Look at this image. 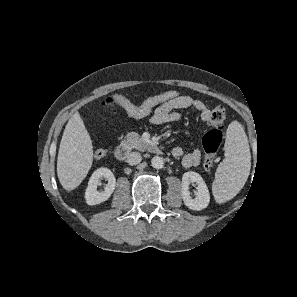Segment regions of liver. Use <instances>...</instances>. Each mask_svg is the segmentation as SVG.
I'll use <instances>...</instances> for the list:
<instances>
[{
	"mask_svg": "<svg viewBox=\"0 0 297 297\" xmlns=\"http://www.w3.org/2000/svg\"><path fill=\"white\" fill-rule=\"evenodd\" d=\"M93 162L90 135L78 112L69 119L59 146L57 175L67 191L77 188L87 176Z\"/></svg>",
	"mask_w": 297,
	"mask_h": 297,
	"instance_id": "liver-1",
	"label": "liver"
}]
</instances>
